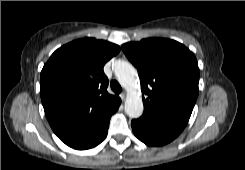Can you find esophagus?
<instances>
[{
  "instance_id": "obj_1",
  "label": "esophagus",
  "mask_w": 245,
  "mask_h": 170,
  "mask_svg": "<svg viewBox=\"0 0 245 170\" xmlns=\"http://www.w3.org/2000/svg\"><path fill=\"white\" fill-rule=\"evenodd\" d=\"M120 97H121V99L124 101L125 98H126V93H125V92H122V93L120 94Z\"/></svg>"
}]
</instances>
